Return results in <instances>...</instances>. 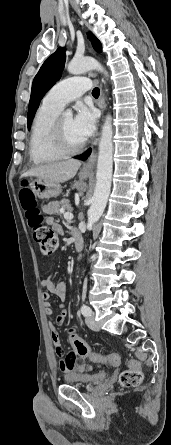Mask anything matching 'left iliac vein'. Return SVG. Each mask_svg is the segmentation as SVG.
Wrapping results in <instances>:
<instances>
[{
    "instance_id": "1",
    "label": "left iliac vein",
    "mask_w": 171,
    "mask_h": 445,
    "mask_svg": "<svg viewBox=\"0 0 171 445\" xmlns=\"http://www.w3.org/2000/svg\"><path fill=\"white\" fill-rule=\"evenodd\" d=\"M85 321H86L87 326H88L91 330H93V331H99L100 327H99V325L95 322V319H94V316H93L92 311H91V314H90L89 316L86 317V320H85Z\"/></svg>"
}]
</instances>
